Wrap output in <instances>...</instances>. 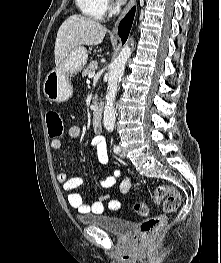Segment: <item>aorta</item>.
<instances>
[{
	"label": "aorta",
	"instance_id": "aorta-1",
	"mask_svg": "<svg viewBox=\"0 0 221 263\" xmlns=\"http://www.w3.org/2000/svg\"><path fill=\"white\" fill-rule=\"evenodd\" d=\"M133 39H128L121 49L118 57L112 62L109 69L106 105L104 108L103 122L108 132H112L115 127V98L118 83L123 75L127 60L132 54Z\"/></svg>",
	"mask_w": 221,
	"mask_h": 263
}]
</instances>
